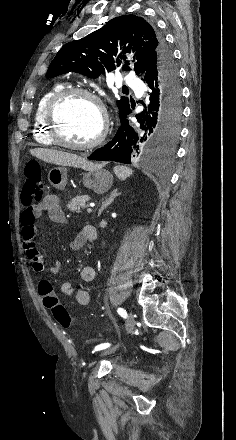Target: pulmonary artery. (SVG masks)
Instances as JSON below:
<instances>
[{
  "label": "pulmonary artery",
  "mask_w": 236,
  "mask_h": 440,
  "mask_svg": "<svg viewBox=\"0 0 236 440\" xmlns=\"http://www.w3.org/2000/svg\"><path fill=\"white\" fill-rule=\"evenodd\" d=\"M124 84L129 88L137 91H142L143 86L140 80L135 78L133 75L128 74L123 78Z\"/></svg>",
  "instance_id": "e3ab8cb5"
}]
</instances>
